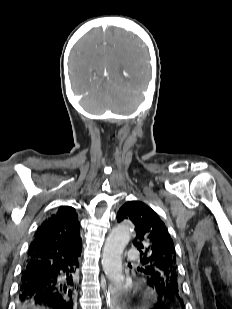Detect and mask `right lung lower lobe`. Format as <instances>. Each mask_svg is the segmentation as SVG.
Returning <instances> with one entry per match:
<instances>
[{
  "instance_id": "right-lung-lower-lobe-1",
  "label": "right lung lower lobe",
  "mask_w": 232,
  "mask_h": 309,
  "mask_svg": "<svg viewBox=\"0 0 232 309\" xmlns=\"http://www.w3.org/2000/svg\"><path fill=\"white\" fill-rule=\"evenodd\" d=\"M77 258L53 261L44 268L27 262L18 290L19 309H74V273Z\"/></svg>"
}]
</instances>
